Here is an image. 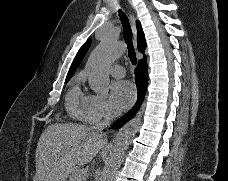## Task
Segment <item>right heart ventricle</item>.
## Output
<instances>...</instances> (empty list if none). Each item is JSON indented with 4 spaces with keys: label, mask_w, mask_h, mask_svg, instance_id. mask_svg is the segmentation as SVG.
Wrapping results in <instances>:
<instances>
[{
    "label": "right heart ventricle",
    "mask_w": 228,
    "mask_h": 181,
    "mask_svg": "<svg viewBox=\"0 0 228 181\" xmlns=\"http://www.w3.org/2000/svg\"><path fill=\"white\" fill-rule=\"evenodd\" d=\"M87 80L92 83L90 73H86V69L77 72L73 77L72 86L67 97L68 108L78 118H84V102L87 96L82 92L81 86Z\"/></svg>",
    "instance_id": "1"
}]
</instances>
